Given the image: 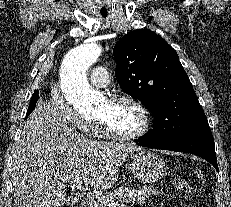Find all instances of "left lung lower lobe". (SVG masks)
Instances as JSON below:
<instances>
[{
    "label": "left lung lower lobe",
    "mask_w": 231,
    "mask_h": 207,
    "mask_svg": "<svg viewBox=\"0 0 231 207\" xmlns=\"http://www.w3.org/2000/svg\"><path fill=\"white\" fill-rule=\"evenodd\" d=\"M136 143L138 145L150 148L195 154L210 162L218 171V164L212 133L197 134L179 141L166 144H157L142 137L140 140H136Z\"/></svg>",
    "instance_id": "1"
}]
</instances>
